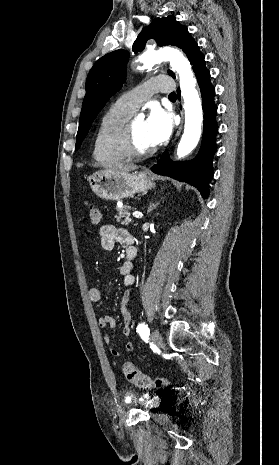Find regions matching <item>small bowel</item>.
<instances>
[{
	"label": "small bowel",
	"instance_id": "c3829d8e",
	"mask_svg": "<svg viewBox=\"0 0 279 465\" xmlns=\"http://www.w3.org/2000/svg\"><path fill=\"white\" fill-rule=\"evenodd\" d=\"M95 239H99L101 246L106 251H111L114 249L117 243H121L126 245L128 248H133L136 251L134 246V238L133 236L126 230L122 228H118L113 225H104L100 228L98 234L95 236ZM133 269V262L132 260H126L120 267V274L124 277V282L127 286H130L134 282V276L132 274ZM89 298L92 302H99L102 299V291L99 287L94 286L88 290ZM121 313L124 318V326L122 328V334L125 337H129L131 334V318L130 314L125 306V302L121 305ZM98 324L101 328H108L112 329L116 326V320L110 316L105 315L101 316L98 319ZM104 342L106 344H110L111 336L110 334L106 333L104 335ZM124 349L126 352H130L133 350V344L131 342H126ZM111 354L113 356L121 355V352L118 349L112 348Z\"/></svg>",
	"mask_w": 279,
	"mask_h": 465
}]
</instances>
